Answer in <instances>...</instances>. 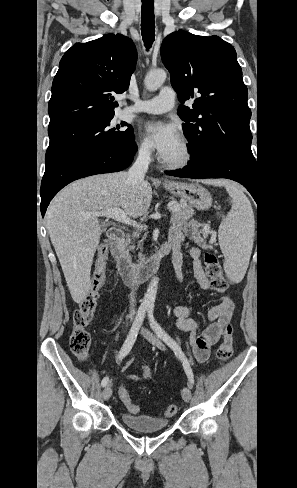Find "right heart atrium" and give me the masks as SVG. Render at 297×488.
Wrapping results in <instances>:
<instances>
[{"mask_svg":"<svg viewBox=\"0 0 297 488\" xmlns=\"http://www.w3.org/2000/svg\"><path fill=\"white\" fill-rule=\"evenodd\" d=\"M136 150L141 157H149L152 153V146L146 139L139 138L136 142Z\"/></svg>","mask_w":297,"mask_h":488,"instance_id":"d8ad5b80","label":"right heart atrium"}]
</instances>
